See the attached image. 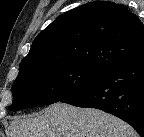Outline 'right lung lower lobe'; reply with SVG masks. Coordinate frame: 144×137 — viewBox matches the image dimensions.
<instances>
[{
  "mask_svg": "<svg viewBox=\"0 0 144 137\" xmlns=\"http://www.w3.org/2000/svg\"><path fill=\"white\" fill-rule=\"evenodd\" d=\"M61 102L111 113L144 137V53L114 67Z\"/></svg>",
  "mask_w": 144,
  "mask_h": 137,
  "instance_id": "1",
  "label": "right lung lower lobe"
}]
</instances>
